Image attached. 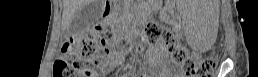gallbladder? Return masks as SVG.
<instances>
[{"instance_id":"obj_1","label":"gallbladder","mask_w":258,"mask_h":77,"mask_svg":"<svg viewBox=\"0 0 258 77\" xmlns=\"http://www.w3.org/2000/svg\"><path fill=\"white\" fill-rule=\"evenodd\" d=\"M101 12L102 5L100 1L92 0L75 14L69 26V31L73 34L82 32L98 20Z\"/></svg>"}]
</instances>
